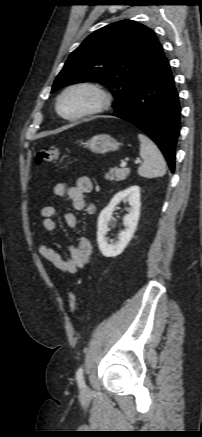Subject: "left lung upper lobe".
<instances>
[{"label":"left lung upper lobe","mask_w":202,"mask_h":437,"mask_svg":"<svg viewBox=\"0 0 202 437\" xmlns=\"http://www.w3.org/2000/svg\"><path fill=\"white\" fill-rule=\"evenodd\" d=\"M166 57L155 33L148 27L123 20L91 35L68 57L51 93L65 85L96 81L122 105L164 65Z\"/></svg>","instance_id":"1"}]
</instances>
